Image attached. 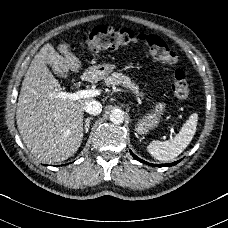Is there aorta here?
Returning <instances> with one entry per match:
<instances>
[{
	"mask_svg": "<svg viewBox=\"0 0 228 228\" xmlns=\"http://www.w3.org/2000/svg\"><path fill=\"white\" fill-rule=\"evenodd\" d=\"M109 119L114 124H121L124 121V113L121 110H113L109 115Z\"/></svg>",
	"mask_w": 228,
	"mask_h": 228,
	"instance_id": "obj_1",
	"label": "aorta"
}]
</instances>
